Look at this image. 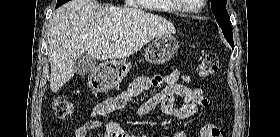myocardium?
I'll list each match as a JSON object with an SVG mask.
<instances>
[{
	"mask_svg": "<svg viewBox=\"0 0 280 137\" xmlns=\"http://www.w3.org/2000/svg\"><path fill=\"white\" fill-rule=\"evenodd\" d=\"M199 2H200V6H202L204 0H199ZM178 7L185 8L187 11L192 12V13H197L199 11V9L189 8V7H186L184 5H178Z\"/></svg>",
	"mask_w": 280,
	"mask_h": 137,
	"instance_id": "1",
	"label": "myocardium"
}]
</instances>
